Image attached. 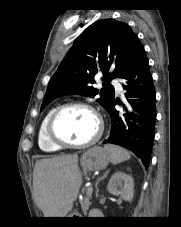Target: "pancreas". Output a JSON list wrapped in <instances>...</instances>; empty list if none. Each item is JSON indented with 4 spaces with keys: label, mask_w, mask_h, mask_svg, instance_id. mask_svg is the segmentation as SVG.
I'll return each mask as SVG.
<instances>
[{
    "label": "pancreas",
    "mask_w": 181,
    "mask_h": 227,
    "mask_svg": "<svg viewBox=\"0 0 181 227\" xmlns=\"http://www.w3.org/2000/svg\"><path fill=\"white\" fill-rule=\"evenodd\" d=\"M90 199H91V196L87 193L84 200L80 203L84 214H87V211L89 210V207L91 205Z\"/></svg>",
    "instance_id": "obj_1"
}]
</instances>
